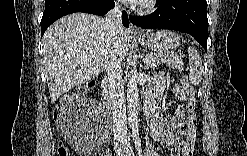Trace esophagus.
Wrapping results in <instances>:
<instances>
[{
	"label": "esophagus",
	"instance_id": "obj_1",
	"mask_svg": "<svg viewBox=\"0 0 247 156\" xmlns=\"http://www.w3.org/2000/svg\"><path fill=\"white\" fill-rule=\"evenodd\" d=\"M129 28H130V31H131L132 33H134V34L140 33V32H141L140 29L137 27V25H135V24L132 23V22L130 23Z\"/></svg>",
	"mask_w": 247,
	"mask_h": 156
}]
</instances>
